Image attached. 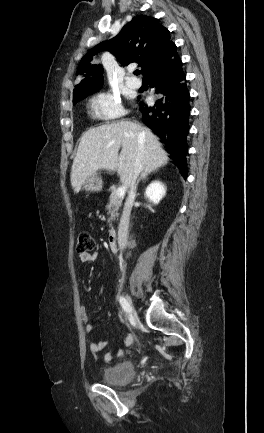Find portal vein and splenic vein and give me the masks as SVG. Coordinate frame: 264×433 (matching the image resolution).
Returning a JSON list of instances; mask_svg holds the SVG:
<instances>
[{
	"instance_id": "obj_1",
	"label": "portal vein and splenic vein",
	"mask_w": 264,
	"mask_h": 433,
	"mask_svg": "<svg viewBox=\"0 0 264 433\" xmlns=\"http://www.w3.org/2000/svg\"><path fill=\"white\" fill-rule=\"evenodd\" d=\"M126 186H121L116 190V194L118 197L123 198L125 196V192H126Z\"/></svg>"
}]
</instances>
